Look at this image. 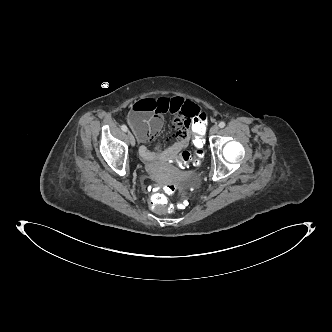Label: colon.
Here are the masks:
<instances>
[{
    "instance_id": "colon-1",
    "label": "colon",
    "mask_w": 332,
    "mask_h": 332,
    "mask_svg": "<svg viewBox=\"0 0 332 332\" xmlns=\"http://www.w3.org/2000/svg\"><path fill=\"white\" fill-rule=\"evenodd\" d=\"M206 115L201 113L198 118H193L190 121L192 144L195 147L194 153L188 151H181L180 154H175L170 159V164L176 169H191L198 170L201 164L209 156V149L205 145V129L207 128ZM176 183H169L164 187L166 193H173L176 189ZM150 205L158 212H172L173 206L168 205L167 198L163 193H155L150 198ZM187 205L186 201L181 202L178 207L184 208Z\"/></svg>"
}]
</instances>
